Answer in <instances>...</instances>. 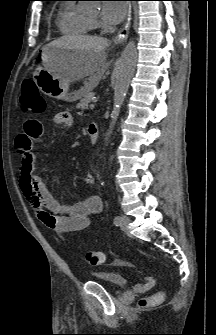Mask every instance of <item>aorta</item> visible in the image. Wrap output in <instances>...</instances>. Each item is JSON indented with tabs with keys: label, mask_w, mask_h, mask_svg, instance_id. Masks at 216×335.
Here are the masks:
<instances>
[{
	"label": "aorta",
	"mask_w": 216,
	"mask_h": 335,
	"mask_svg": "<svg viewBox=\"0 0 216 335\" xmlns=\"http://www.w3.org/2000/svg\"><path fill=\"white\" fill-rule=\"evenodd\" d=\"M137 62V49L135 42L133 40L124 48L121 57L118 62V66L115 73V83H114V105L113 111L111 113V122L109 129L106 133L105 140L112 134L116 121L118 119L121 106L127 95L130 81L134 75L135 67Z\"/></svg>",
	"instance_id": "aorta-1"
}]
</instances>
